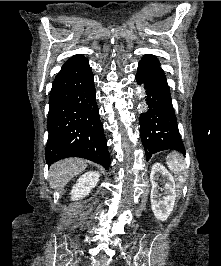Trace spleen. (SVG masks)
Segmentation results:
<instances>
[{
	"label": "spleen",
	"instance_id": "1",
	"mask_svg": "<svg viewBox=\"0 0 221 266\" xmlns=\"http://www.w3.org/2000/svg\"><path fill=\"white\" fill-rule=\"evenodd\" d=\"M166 163L170 171L175 174L178 186L182 188L187 179V166L184 159L178 153H171L167 156Z\"/></svg>",
	"mask_w": 221,
	"mask_h": 266
}]
</instances>
